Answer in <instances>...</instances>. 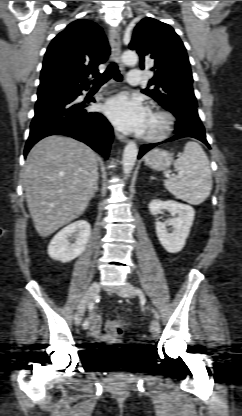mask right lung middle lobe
I'll return each instance as SVG.
<instances>
[{"mask_svg": "<svg viewBox=\"0 0 242 416\" xmlns=\"http://www.w3.org/2000/svg\"><path fill=\"white\" fill-rule=\"evenodd\" d=\"M64 91H71V90H64ZM60 92H63V91H60Z\"/></svg>", "mask_w": 242, "mask_h": 416, "instance_id": "1", "label": "right lung middle lobe"}]
</instances>
